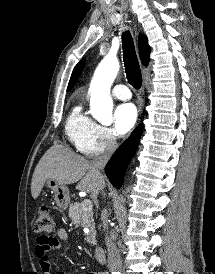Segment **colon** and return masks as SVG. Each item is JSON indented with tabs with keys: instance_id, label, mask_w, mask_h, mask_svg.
<instances>
[{
	"instance_id": "obj_1",
	"label": "colon",
	"mask_w": 215,
	"mask_h": 274,
	"mask_svg": "<svg viewBox=\"0 0 215 274\" xmlns=\"http://www.w3.org/2000/svg\"><path fill=\"white\" fill-rule=\"evenodd\" d=\"M54 229V222L50 208L46 205L40 206L35 220L33 230L39 236H48Z\"/></svg>"
}]
</instances>
